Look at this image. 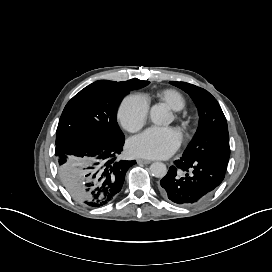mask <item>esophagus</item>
I'll return each instance as SVG.
<instances>
[{"instance_id": "34e87169", "label": "esophagus", "mask_w": 272, "mask_h": 272, "mask_svg": "<svg viewBox=\"0 0 272 272\" xmlns=\"http://www.w3.org/2000/svg\"><path fill=\"white\" fill-rule=\"evenodd\" d=\"M137 163H141V164H150L151 161L147 160V159H137Z\"/></svg>"}]
</instances>
